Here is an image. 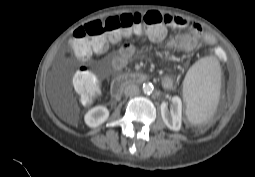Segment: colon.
Here are the masks:
<instances>
[{
	"label": "colon",
	"instance_id": "5ec220e1",
	"mask_svg": "<svg viewBox=\"0 0 255 177\" xmlns=\"http://www.w3.org/2000/svg\"><path fill=\"white\" fill-rule=\"evenodd\" d=\"M166 26L164 15L157 11L113 16L79 27L71 39V48L76 56L86 59L94 52H102L110 44L133 35L145 34L159 39ZM73 85L81 100L91 104L99 93L100 79L87 67H81L74 75Z\"/></svg>",
	"mask_w": 255,
	"mask_h": 177
}]
</instances>
